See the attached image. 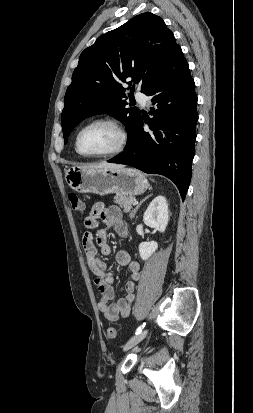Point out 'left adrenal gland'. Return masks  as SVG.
I'll return each mask as SVG.
<instances>
[{
    "label": "left adrenal gland",
    "instance_id": "left-adrenal-gland-1",
    "mask_svg": "<svg viewBox=\"0 0 253 413\" xmlns=\"http://www.w3.org/2000/svg\"><path fill=\"white\" fill-rule=\"evenodd\" d=\"M150 196H152V194L146 196L143 200L140 201V203L136 206V208L134 209L133 213L131 214V217H134V216H135V214H136L137 210L139 209V207L141 206V204H142L147 198H149Z\"/></svg>",
    "mask_w": 253,
    "mask_h": 413
}]
</instances>
